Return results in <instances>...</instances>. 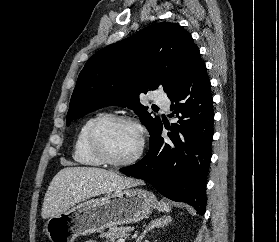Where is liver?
Listing matches in <instances>:
<instances>
[{"label":"liver","instance_id":"obj_1","mask_svg":"<svg viewBox=\"0 0 279 242\" xmlns=\"http://www.w3.org/2000/svg\"><path fill=\"white\" fill-rule=\"evenodd\" d=\"M141 182L94 167H66L52 179L44 197L43 219L91 197L140 185Z\"/></svg>","mask_w":279,"mask_h":242}]
</instances>
